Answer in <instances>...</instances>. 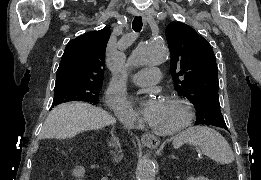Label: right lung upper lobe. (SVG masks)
<instances>
[{"label": "right lung upper lobe", "mask_w": 261, "mask_h": 180, "mask_svg": "<svg viewBox=\"0 0 261 180\" xmlns=\"http://www.w3.org/2000/svg\"><path fill=\"white\" fill-rule=\"evenodd\" d=\"M110 29L91 31L71 40L62 55L56 85L70 82L102 83Z\"/></svg>", "instance_id": "right-lung-upper-lobe-1"}]
</instances>
